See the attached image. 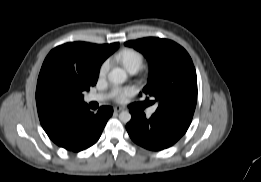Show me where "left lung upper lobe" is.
Returning a JSON list of instances; mask_svg holds the SVG:
<instances>
[{"mask_svg":"<svg viewBox=\"0 0 261 182\" xmlns=\"http://www.w3.org/2000/svg\"><path fill=\"white\" fill-rule=\"evenodd\" d=\"M150 62L151 73L143 93L159 102L155 113L192 118L197 102V76L186 50L155 37L125 42Z\"/></svg>","mask_w":261,"mask_h":182,"instance_id":"obj_1","label":"left lung upper lobe"}]
</instances>
